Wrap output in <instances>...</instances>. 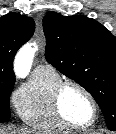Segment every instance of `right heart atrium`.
<instances>
[{"mask_svg":"<svg viewBox=\"0 0 116 134\" xmlns=\"http://www.w3.org/2000/svg\"><path fill=\"white\" fill-rule=\"evenodd\" d=\"M23 90H16L13 95H12V99L14 101V103L16 104L18 98L20 97L21 93H22Z\"/></svg>","mask_w":116,"mask_h":134,"instance_id":"right-heart-atrium-1","label":"right heart atrium"}]
</instances>
